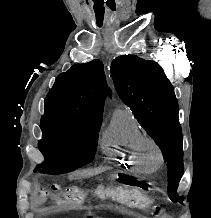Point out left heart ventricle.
<instances>
[{"mask_svg": "<svg viewBox=\"0 0 211 218\" xmlns=\"http://www.w3.org/2000/svg\"><path fill=\"white\" fill-rule=\"evenodd\" d=\"M145 159L151 164L156 165V154L153 148L147 147L145 149Z\"/></svg>", "mask_w": 211, "mask_h": 218, "instance_id": "left-heart-ventricle-1", "label": "left heart ventricle"}]
</instances>
